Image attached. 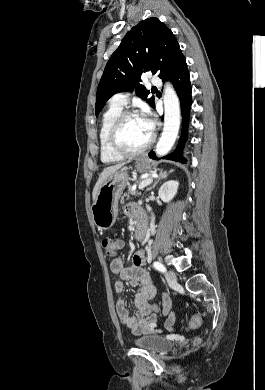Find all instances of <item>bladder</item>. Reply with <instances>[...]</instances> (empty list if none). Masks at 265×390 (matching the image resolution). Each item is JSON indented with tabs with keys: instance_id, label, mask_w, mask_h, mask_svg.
Here are the masks:
<instances>
[{
	"instance_id": "bladder-1",
	"label": "bladder",
	"mask_w": 265,
	"mask_h": 390,
	"mask_svg": "<svg viewBox=\"0 0 265 390\" xmlns=\"http://www.w3.org/2000/svg\"><path fill=\"white\" fill-rule=\"evenodd\" d=\"M137 346L152 353H162L172 346L170 340L158 335H142L133 341Z\"/></svg>"
}]
</instances>
